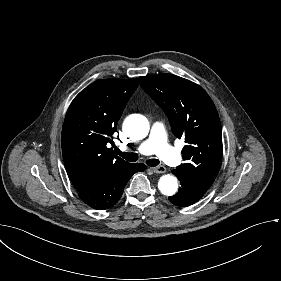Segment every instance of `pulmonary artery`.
<instances>
[{"instance_id": "e3ab8cb5", "label": "pulmonary artery", "mask_w": 281, "mask_h": 281, "mask_svg": "<svg viewBox=\"0 0 281 281\" xmlns=\"http://www.w3.org/2000/svg\"><path fill=\"white\" fill-rule=\"evenodd\" d=\"M133 152L143 157H148L150 154L160 155L174 167H180L183 164V159L167 139L165 125L162 122H155L152 125V135L148 138V141H145L142 145L136 144L133 147Z\"/></svg>"}]
</instances>
